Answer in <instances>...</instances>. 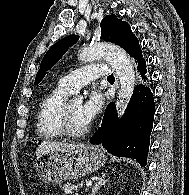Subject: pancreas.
<instances>
[{"label": "pancreas", "instance_id": "obj_1", "mask_svg": "<svg viewBox=\"0 0 189 195\" xmlns=\"http://www.w3.org/2000/svg\"><path fill=\"white\" fill-rule=\"evenodd\" d=\"M83 183L73 184V183H65L61 187L67 194H72L74 192H78L79 188Z\"/></svg>", "mask_w": 189, "mask_h": 195}]
</instances>
